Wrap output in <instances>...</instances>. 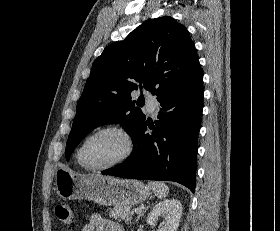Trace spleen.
Masks as SVG:
<instances>
[{
  "label": "spleen",
  "instance_id": "spleen-1",
  "mask_svg": "<svg viewBox=\"0 0 280 231\" xmlns=\"http://www.w3.org/2000/svg\"><path fill=\"white\" fill-rule=\"evenodd\" d=\"M148 185L159 199H164L169 191L168 185H165L163 181H148Z\"/></svg>",
  "mask_w": 280,
  "mask_h": 231
}]
</instances>
